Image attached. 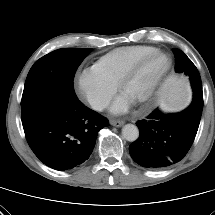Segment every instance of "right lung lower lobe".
Wrapping results in <instances>:
<instances>
[{
  "label": "right lung lower lobe",
  "instance_id": "1",
  "mask_svg": "<svg viewBox=\"0 0 215 215\" xmlns=\"http://www.w3.org/2000/svg\"><path fill=\"white\" fill-rule=\"evenodd\" d=\"M108 120L78 98L62 101L24 128L29 146L45 165L64 171L91 155L100 129Z\"/></svg>",
  "mask_w": 215,
  "mask_h": 215
}]
</instances>
